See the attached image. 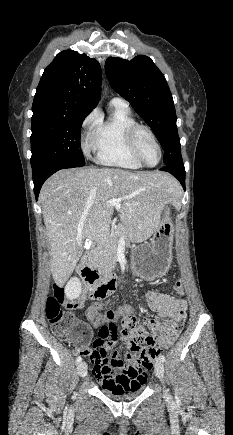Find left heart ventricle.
Segmentation results:
<instances>
[{"label": "left heart ventricle", "mask_w": 233, "mask_h": 435, "mask_svg": "<svg viewBox=\"0 0 233 435\" xmlns=\"http://www.w3.org/2000/svg\"><path fill=\"white\" fill-rule=\"evenodd\" d=\"M138 145L141 155L145 162L149 165H154L159 160V153L151 138L145 133L141 132L138 136Z\"/></svg>", "instance_id": "1"}]
</instances>
